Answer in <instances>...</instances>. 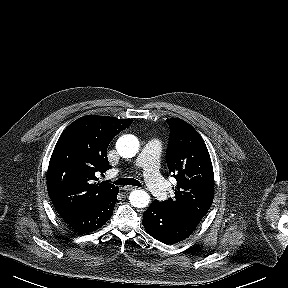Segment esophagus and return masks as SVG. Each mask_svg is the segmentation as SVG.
Returning <instances> with one entry per match:
<instances>
[{
  "instance_id": "34e87169",
  "label": "esophagus",
  "mask_w": 288,
  "mask_h": 288,
  "mask_svg": "<svg viewBox=\"0 0 288 288\" xmlns=\"http://www.w3.org/2000/svg\"><path fill=\"white\" fill-rule=\"evenodd\" d=\"M135 189H137V187H134V186H125V187H123V190H125V191H132V190H135Z\"/></svg>"
}]
</instances>
